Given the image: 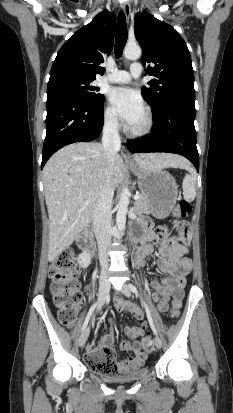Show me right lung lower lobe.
Returning <instances> with one entry per match:
<instances>
[{
    "label": "right lung lower lobe",
    "instance_id": "1",
    "mask_svg": "<svg viewBox=\"0 0 233 413\" xmlns=\"http://www.w3.org/2000/svg\"><path fill=\"white\" fill-rule=\"evenodd\" d=\"M103 127V105L92 106L70 95L47 97L46 137L41 168L60 148L97 139Z\"/></svg>",
    "mask_w": 233,
    "mask_h": 413
}]
</instances>
